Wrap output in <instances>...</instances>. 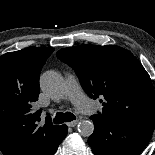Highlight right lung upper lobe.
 <instances>
[{
    "label": "right lung upper lobe",
    "mask_w": 155,
    "mask_h": 155,
    "mask_svg": "<svg viewBox=\"0 0 155 155\" xmlns=\"http://www.w3.org/2000/svg\"><path fill=\"white\" fill-rule=\"evenodd\" d=\"M53 48L29 47L0 57V151L4 155H53L67 134L50 117L40 126L39 76Z\"/></svg>",
    "instance_id": "obj_1"
}]
</instances>
